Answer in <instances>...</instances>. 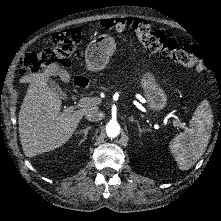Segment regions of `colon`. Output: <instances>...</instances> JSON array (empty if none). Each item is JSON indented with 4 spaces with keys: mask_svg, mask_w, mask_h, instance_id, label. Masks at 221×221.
I'll use <instances>...</instances> for the list:
<instances>
[{
    "mask_svg": "<svg viewBox=\"0 0 221 221\" xmlns=\"http://www.w3.org/2000/svg\"><path fill=\"white\" fill-rule=\"evenodd\" d=\"M100 27L103 31L114 33L132 30L148 52L192 66L198 72L208 70V62L198 48L179 45L165 33L154 29L151 24L143 20L132 18L104 19L101 21ZM81 41L82 36L78 30L55 33L50 39L49 47L27 53L22 58L19 71H24V74H33L47 67H65L66 60L72 57Z\"/></svg>",
    "mask_w": 221,
    "mask_h": 221,
    "instance_id": "1",
    "label": "colon"
}]
</instances>
